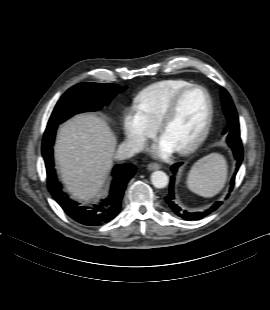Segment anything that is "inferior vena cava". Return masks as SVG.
Here are the masks:
<instances>
[{
	"label": "inferior vena cava",
	"mask_w": 270,
	"mask_h": 310,
	"mask_svg": "<svg viewBox=\"0 0 270 310\" xmlns=\"http://www.w3.org/2000/svg\"><path fill=\"white\" fill-rule=\"evenodd\" d=\"M144 148L145 143L143 142L125 141L119 146L115 157L117 159L124 160L143 151Z\"/></svg>",
	"instance_id": "1"
}]
</instances>
